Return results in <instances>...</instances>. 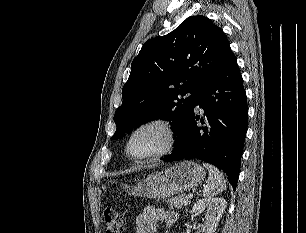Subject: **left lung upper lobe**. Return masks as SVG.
Listing matches in <instances>:
<instances>
[{"instance_id": "obj_1", "label": "left lung upper lobe", "mask_w": 306, "mask_h": 233, "mask_svg": "<svg viewBox=\"0 0 306 233\" xmlns=\"http://www.w3.org/2000/svg\"><path fill=\"white\" fill-rule=\"evenodd\" d=\"M223 31L207 17L190 16L171 33L148 40L131 64L116 110L113 139L156 119L171 120L176 135L197 98L230 51ZM191 95L179 99V96Z\"/></svg>"}]
</instances>
